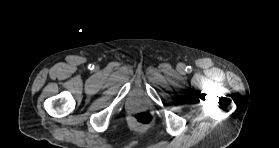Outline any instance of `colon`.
Here are the masks:
<instances>
[{
	"label": "colon",
	"mask_w": 279,
	"mask_h": 148,
	"mask_svg": "<svg viewBox=\"0 0 279 148\" xmlns=\"http://www.w3.org/2000/svg\"><path fill=\"white\" fill-rule=\"evenodd\" d=\"M131 120L140 126H147L151 124L153 117L148 112H139L131 115Z\"/></svg>",
	"instance_id": "obj_1"
}]
</instances>
